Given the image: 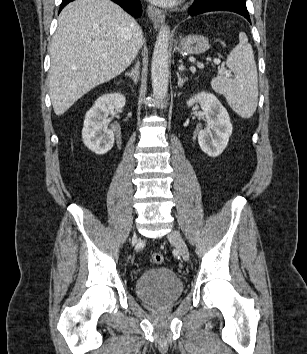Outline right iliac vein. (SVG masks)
<instances>
[{
    "mask_svg": "<svg viewBox=\"0 0 307 354\" xmlns=\"http://www.w3.org/2000/svg\"><path fill=\"white\" fill-rule=\"evenodd\" d=\"M137 239H138L137 235L134 234V235H133V238H132L133 242L135 243V242L137 241Z\"/></svg>",
    "mask_w": 307,
    "mask_h": 354,
    "instance_id": "obj_1",
    "label": "right iliac vein"
}]
</instances>
